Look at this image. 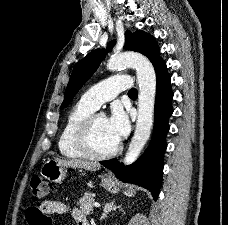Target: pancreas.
<instances>
[{
    "instance_id": "cf45deb5",
    "label": "pancreas",
    "mask_w": 228,
    "mask_h": 225,
    "mask_svg": "<svg viewBox=\"0 0 228 225\" xmlns=\"http://www.w3.org/2000/svg\"><path fill=\"white\" fill-rule=\"evenodd\" d=\"M95 199L92 197V193H85L82 199H79V205L81 211H83L84 215H91V211H93V203Z\"/></svg>"
}]
</instances>
